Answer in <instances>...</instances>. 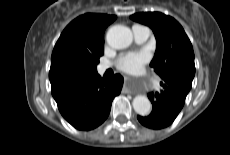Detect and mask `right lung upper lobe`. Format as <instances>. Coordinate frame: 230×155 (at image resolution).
Listing matches in <instances>:
<instances>
[{
  "mask_svg": "<svg viewBox=\"0 0 230 155\" xmlns=\"http://www.w3.org/2000/svg\"><path fill=\"white\" fill-rule=\"evenodd\" d=\"M115 15L88 13L74 19L62 32L52 52L50 81L59 79L60 67L69 61L89 62L104 54V31Z\"/></svg>",
  "mask_w": 230,
  "mask_h": 155,
  "instance_id": "obj_1",
  "label": "right lung upper lobe"
}]
</instances>
